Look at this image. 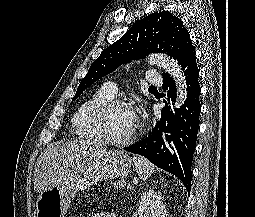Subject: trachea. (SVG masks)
Listing matches in <instances>:
<instances>
[{
  "mask_svg": "<svg viewBox=\"0 0 255 217\" xmlns=\"http://www.w3.org/2000/svg\"><path fill=\"white\" fill-rule=\"evenodd\" d=\"M150 88H152V89H156V87H154V86H151Z\"/></svg>",
  "mask_w": 255,
  "mask_h": 217,
  "instance_id": "trachea-1",
  "label": "trachea"
}]
</instances>
